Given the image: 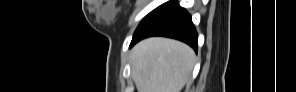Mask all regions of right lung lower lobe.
<instances>
[{"label":"right lung lower lobe","instance_id":"right-lung-lower-lobe-1","mask_svg":"<svg viewBox=\"0 0 296 92\" xmlns=\"http://www.w3.org/2000/svg\"><path fill=\"white\" fill-rule=\"evenodd\" d=\"M149 36H166L184 41L197 50V32L191 16L175 1L149 13L136 29L130 47Z\"/></svg>","mask_w":296,"mask_h":92}]
</instances>
